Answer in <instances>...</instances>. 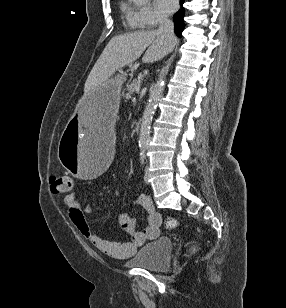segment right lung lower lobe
Masks as SVG:
<instances>
[{
	"label": "right lung lower lobe",
	"instance_id": "1",
	"mask_svg": "<svg viewBox=\"0 0 286 308\" xmlns=\"http://www.w3.org/2000/svg\"><path fill=\"white\" fill-rule=\"evenodd\" d=\"M181 4L184 3V0H180ZM184 9L179 10L173 17L174 25H175V33L177 36H181V33L184 29Z\"/></svg>",
	"mask_w": 286,
	"mask_h": 308
}]
</instances>
